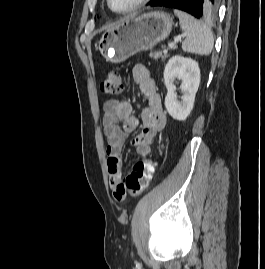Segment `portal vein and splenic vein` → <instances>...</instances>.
<instances>
[{
	"instance_id": "18ae733b",
	"label": "portal vein and splenic vein",
	"mask_w": 265,
	"mask_h": 269,
	"mask_svg": "<svg viewBox=\"0 0 265 269\" xmlns=\"http://www.w3.org/2000/svg\"><path fill=\"white\" fill-rule=\"evenodd\" d=\"M181 37H185V34L181 35L180 38L177 39V41L172 42V43H169V44H168V48H170V49L174 48V47L176 46V43H177L178 41L181 40ZM163 52H164V53H167V49H164Z\"/></svg>"
}]
</instances>
